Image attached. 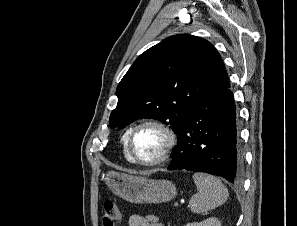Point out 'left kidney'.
I'll use <instances>...</instances> for the list:
<instances>
[{"mask_svg": "<svg viewBox=\"0 0 297 226\" xmlns=\"http://www.w3.org/2000/svg\"><path fill=\"white\" fill-rule=\"evenodd\" d=\"M186 226H221V222L215 217H210L201 222L188 223Z\"/></svg>", "mask_w": 297, "mask_h": 226, "instance_id": "left-kidney-1", "label": "left kidney"}]
</instances>
